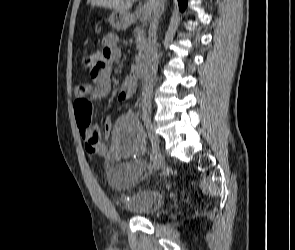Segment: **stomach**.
<instances>
[{"instance_id": "stomach-1", "label": "stomach", "mask_w": 295, "mask_h": 250, "mask_svg": "<svg viewBox=\"0 0 295 250\" xmlns=\"http://www.w3.org/2000/svg\"><path fill=\"white\" fill-rule=\"evenodd\" d=\"M109 22L117 30H124L130 24L129 16L126 12L114 11L110 17Z\"/></svg>"}]
</instances>
